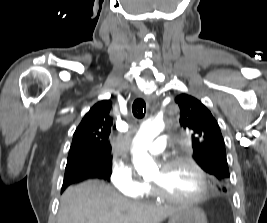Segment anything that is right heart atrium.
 Returning a JSON list of instances; mask_svg holds the SVG:
<instances>
[{
    "mask_svg": "<svg viewBox=\"0 0 267 223\" xmlns=\"http://www.w3.org/2000/svg\"><path fill=\"white\" fill-rule=\"evenodd\" d=\"M110 178L116 191L122 195L139 197L146 187L137 178L133 168L125 162L114 163Z\"/></svg>",
    "mask_w": 267,
    "mask_h": 223,
    "instance_id": "right-heart-atrium-1",
    "label": "right heart atrium"
}]
</instances>
